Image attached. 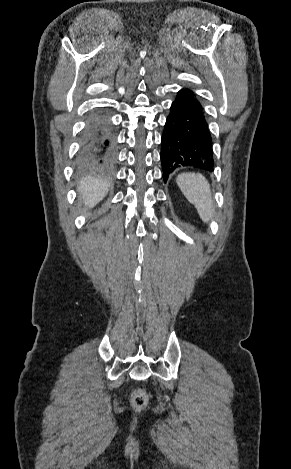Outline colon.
Listing matches in <instances>:
<instances>
[{
    "label": "colon",
    "mask_w": 291,
    "mask_h": 469,
    "mask_svg": "<svg viewBox=\"0 0 291 469\" xmlns=\"http://www.w3.org/2000/svg\"><path fill=\"white\" fill-rule=\"evenodd\" d=\"M147 395L142 390H135L132 394V404L136 408H142L147 404Z\"/></svg>",
    "instance_id": "5ec220e1"
}]
</instances>
